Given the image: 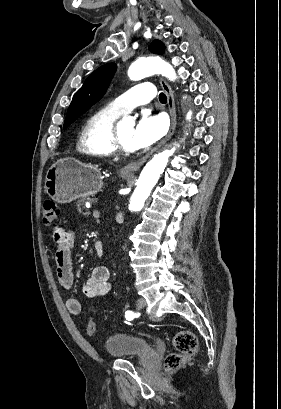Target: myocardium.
<instances>
[{
  "instance_id": "1",
  "label": "myocardium",
  "mask_w": 281,
  "mask_h": 409,
  "mask_svg": "<svg viewBox=\"0 0 281 409\" xmlns=\"http://www.w3.org/2000/svg\"><path fill=\"white\" fill-rule=\"evenodd\" d=\"M107 147L111 155L116 157H129L136 152V149H125L121 145L118 122H114L109 129Z\"/></svg>"
}]
</instances>
